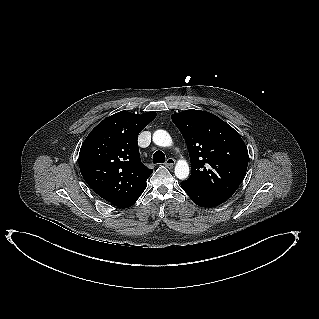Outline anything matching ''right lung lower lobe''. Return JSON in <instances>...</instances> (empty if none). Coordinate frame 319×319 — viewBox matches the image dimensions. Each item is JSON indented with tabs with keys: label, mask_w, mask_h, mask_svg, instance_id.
I'll return each instance as SVG.
<instances>
[{
	"label": "right lung lower lobe",
	"mask_w": 319,
	"mask_h": 319,
	"mask_svg": "<svg viewBox=\"0 0 319 319\" xmlns=\"http://www.w3.org/2000/svg\"><path fill=\"white\" fill-rule=\"evenodd\" d=\"M145 187L140 189L136 194L124 199L123 201L119 202L117 205V207L119 208H122V209H125V208H128L130 206H132L136 201L137 199L141 196V194L143 193Z\"/></svg>",
	"instance_id": "obj_1"
}]
</instances>
